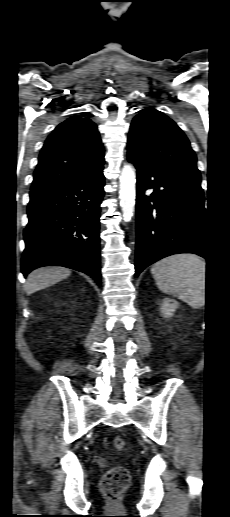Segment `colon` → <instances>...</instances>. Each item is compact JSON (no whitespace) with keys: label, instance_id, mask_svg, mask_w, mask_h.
<instances>
[{"label":"colon","instance_id":"colon-1","mask_svg":"<svg viewBox=\"0 0 230 517\" xmlns=\"http://www.w3.org/2000/svg\"><path fill=\"white\" fill-rule=\"evenodd\" d=\"M112 444L116 450L125 448V441L121 437L113 438ZM129 480L130 476L126 469L122 467L110 469L102 479V490L105 496L111 500H117L128 485Z\"/></svg>","mask_w":230,"mask_h":517}]
</instances>
